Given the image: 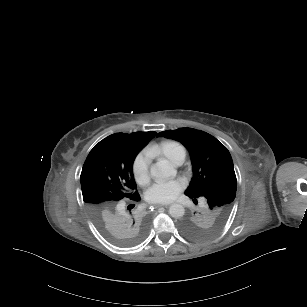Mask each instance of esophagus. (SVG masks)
Masks as SVG:
<instances>
[{"instance_id":"obj_1","label":"esophagus","mask_w":307,"mask_h":307,"mask_svg":"<svg viewBox=\"0 0 307 307\" xmlns=\"http://www.w3.org/2000/svg\"><path fill=\"white\" fill-rule=\"evenodd\" d=\"M153 207L154 208H160V207H163V205L162 204H153Z\"/></svg>"}]
</instances>
